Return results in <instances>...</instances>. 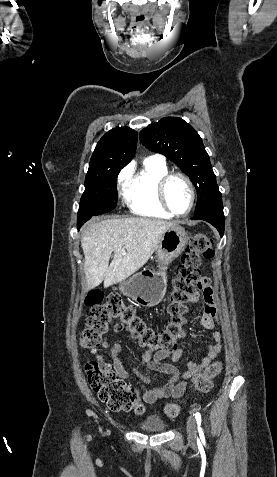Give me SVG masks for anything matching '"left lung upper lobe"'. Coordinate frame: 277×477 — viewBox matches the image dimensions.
<instances>
[{
  "instance_id": "obj_1",
  "label": "left lung upper lobe",
  "mask_w": 277,
  "mask_h": 477,
  "mask_svg": "<svg viewBox=\"0 0 277 477\" xmlns=\"http://www.w3.org/2000/svg\"><path fill=\"white\" fill-rule=\"evenodd\" d=\"M140 139L146 148L163 154L189 176L198 194L194 215L222 200L202 139L190 124L165 117L144 128Z\"/></svg>"
}]
</instances>
